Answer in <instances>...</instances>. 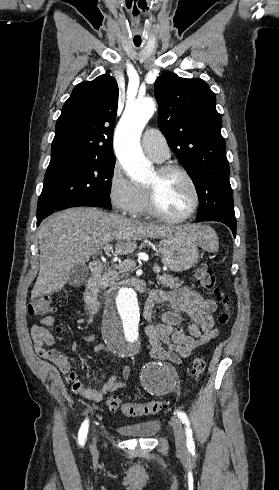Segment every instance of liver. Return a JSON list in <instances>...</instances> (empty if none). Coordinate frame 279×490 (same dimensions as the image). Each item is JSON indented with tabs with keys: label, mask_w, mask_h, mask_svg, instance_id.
Listing matches in <instances>:
<instances>
[{
	"label": "liver",
	"mask_w": 279,
	"mask_h": 490,
	"mask_svg": "<svg viewBox=\"0 0 279 490\" xmlns=\"http://www.w3.org/2000/svg\"><path fill=\"white\" fill-rule=\"evenodd\" d=\"M204 226H155L106 214L98 208H70L43 220L38 230L40 268L31 298H41L64 288L75 266H84L99 250L115 240V254L126 256L140 238H165L171 232L200 240ZM107 252V250H106Z\"/></svg>",
	"instance_id": "6515ba94"
}]
</instances>
